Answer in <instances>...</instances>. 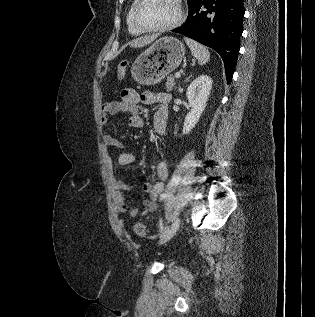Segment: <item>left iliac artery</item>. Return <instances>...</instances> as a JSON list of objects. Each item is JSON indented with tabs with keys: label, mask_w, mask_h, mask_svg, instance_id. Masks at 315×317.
I'll return each mask as SVG.
<instances>
[{
	"label": "left iliac artery",
	"mask_w": 315,
	"mask_h": 317,
	"mask_svg": "<svg viewBox=\"0 0 315 317\" xmlns=\"http://www.w3.org/2000/svg\"><path fill=\"white\" fill-rule=\"evenodd\" d=\"M166 197H167V194H165V193L162 194V195H161V200L165 199ZM163 229H164L163 223H162V220H160V232H162Z\"/></svg>",
	"instance_id": "left-iliac-artery-1"
}]
</instances>
